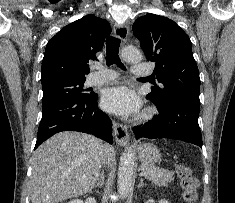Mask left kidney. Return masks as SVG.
Masks as SVG:
<instances>
[{
    "instance_id": "obj_1",
    "label": "left kidney",
    "mask_w": 235,
    "mask_h": 203,
    "mask_svg": "<svg viewBox=\"0 0 235 203\" xmlns=\"http://www.w3.org/2000/svg\"><path fill=\"white\" fill-rule=\"evenodd\" d=\"M158 203H170V202H168L167 200L163 199V200H160Z\"/></svg>"
}]
</instances>
